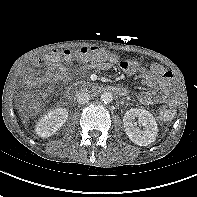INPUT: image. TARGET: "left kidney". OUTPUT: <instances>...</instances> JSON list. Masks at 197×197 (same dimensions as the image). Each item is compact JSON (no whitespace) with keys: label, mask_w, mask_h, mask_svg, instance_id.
<instances>
[{"label":"left kidney","mask_w":197,"mask_h":197,"mask_svg":"<svg viewBox=\"0 0 197 197\" xmlns=\"http://www.w3.org/2000/svg\"><path fill=\"white\" fill-rule=\"evenodd\" d=\"M135 118H138L143 126L142 130L135 126ZM123 122L125 132L133 143L139 146H147L156 140L158 127L155 118L149 111L132 108L125 113Z\"/></svg>","instance_id":"left-kidney-1"}]
</instances>
